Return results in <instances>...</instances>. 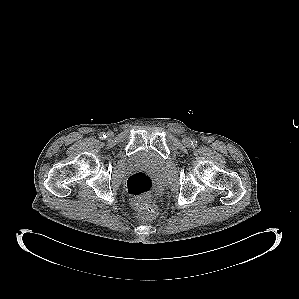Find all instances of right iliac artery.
<instances>
[{"label":"right iliac artery","instance_id":"right-iliac-artery-1","mask_svg":"<svg viewBox=\"0 0 299 299\" xmlns=\"http://www.w3.org/2000/svg\"><path fill=\"white\" fill-rule=\"evenodd\" d=\"M100 138H101V139H104V138H106V134H104V133H101V134H100Z\"/></svg>","mask_w":299,"mask_h":299}]
</instances>
